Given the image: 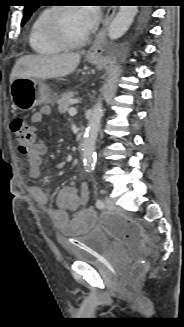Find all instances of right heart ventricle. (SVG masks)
<instances>
[{"mask_svg": "<svg viewBox=\"0 0 184 327\" xmlns=\"http://www.w3.org/2000/svg\"><path fill=\"white\" fill-rule=\"evenodd\" d=\"M50 9L40 11L31 23L28 41L31 49L40 55H55L64 48L52 41L45 32V18Z\"/></svg>", "mask_w": 184, "mask_h": 327, "instance_id": "right-heart-ventricle-1", "label": "right heart ventricle"}]
</instances>
